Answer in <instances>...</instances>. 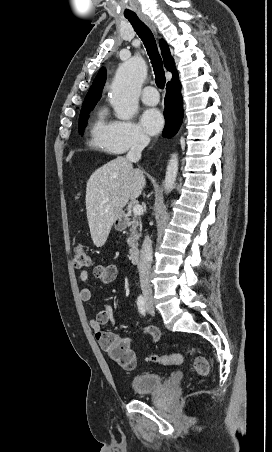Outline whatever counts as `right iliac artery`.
<instances>
[{
    "label": "right iliac artery",
    "instance_id": "1",
    "mask_svg": "<svg viewBox=\"0 0 272 452\" xmlns=\"http://www.w3.org/2000/svg\"><path fill=\"white\" fill-rule=\"evenodd\" d=\"M137 306H138L139 312L145 316L146 315V306H145V300L142 296L138 297Z\"/></svg>",
    "mask_w": 272,
    "mask_h": 452
}]
</instances>
